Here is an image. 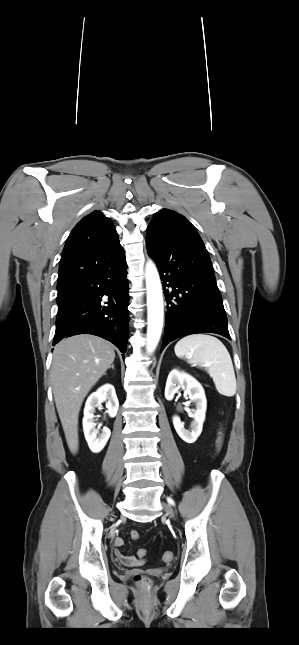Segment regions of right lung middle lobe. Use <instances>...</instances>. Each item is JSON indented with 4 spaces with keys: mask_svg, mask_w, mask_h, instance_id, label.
<instances>
[{
    "mask_svg": "<svg viewBox=\"0 0 299 645\" xmlns=\"http://www.w3.org/2000/svg\"><path fill=\"white\" fill-rule=\"evenodd\" d=\"M66 294H67L66 290L58 291V295H57V303L58 304L62 301V299L64 298V296Z\"/></svg>",
    "mask_w": 299,
    "mask_h": 645,
    "instance_id": "1",
    "label": "right lung middle lobe"
}]
</instances>
